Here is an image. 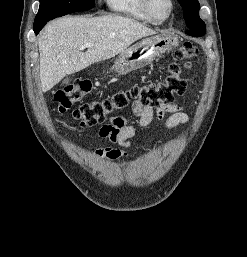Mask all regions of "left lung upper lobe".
Wrapping results in <instances>:
<instances>
[{"label":"left lung upper lobe","instance_id":"1","mask_svg":"<svg viewBox=\"0 0 247 257\" xmlns=\"http://www.w3.org/2000/svg\"><path fill=\"white\" fill-rule=\"evenodd\" d=\"M184 11V19L189 27L188 34L203 36L206 32L205 23L199 17L200 4L198 0H178Z\"/></svg>","mask_w":247,"mask_h":257}]
</instances>
